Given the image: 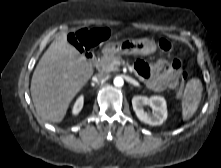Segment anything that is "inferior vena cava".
<instances>
[{
	"label": "inferior vena cava",
	"mask_w": 221,
	"mask_h": 168,
	"mask_svg": "<svg viewBox=\"0 0 221 168\" xmlns=\"http://www.w3.org/2000/svg\"><path fill=\"white\" fill-rule=\"evenodd\" d=\"M107 77H108L107 73L100 72L94 76V81L96 82L103 81V80H106Z\"/></svg>",
	"instance_id": "obj_1"
}]
</instances>
